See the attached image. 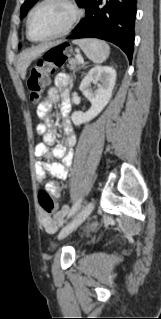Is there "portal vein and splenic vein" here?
Wrapping results in <instances>:
<instances>
[{
    "instance_id": "18ae733b",
    "label": "portal vein and splenic vein",
    "mask_w": 161,
    "mask_h": 319,
    "mask_svg": "<svg viewBox=\"0 0 161 319\" xmlns=\"http://www.w3.org/2000/svg\"><path fill=\"white\" fill-rule=\"evenodd\" d=\"M76 59L79 61V62H83V58L81 55L77 54L76 55Z\"/></svg>"
}]
</instances>
